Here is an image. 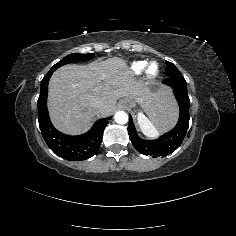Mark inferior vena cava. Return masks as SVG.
<instances>
[{
    "instance_id": "1",
    "label": "inferior vena cava",
    "mask_w": 236,
    "mask_h": 236,
    "mask_svg": "<svg viewBox=\"0 0 236 236\" xmlns=\"http://www.w3.org/2000/svg\"><path fill=\"white\" fill-rule=\"evenodd\" d=\"M101 106V102L96 101L91 104V107L94 109H98Z\"/></svg>"
}]
</instances>
